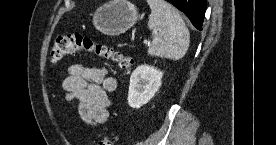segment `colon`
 Wrapping results in <instances>:
<instances>
[{
	"mask_svg": "<svg viewBox=\"0 0 276 145\" xmlns=\"http://www.w3.org/2000/svg\"><path fill=\"white\" fill-rule=\"evenodd\" d=\"M80 51L93 53L99 58L109 60L117 65V67L128 73L133 68V60L121 52L114 50L104 44L95 43L89 36L81 33H73L67 35H58L51 49V60L58 62L67 55L75 54ZM98 145H114V139L105 136L100 139Z\"/></svg>",
	"mask_w": 276,
	"mask_h": 145,
	"instance_id": "colon-1",
	"label": "colon"
}]
</instances>
